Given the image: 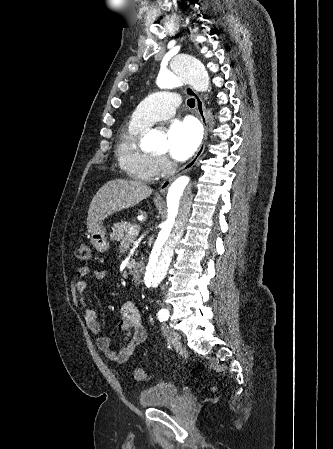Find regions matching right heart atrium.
<instances>
[{"instance_id": "right-heart-atrium-1", "label": "right heart atrium", "mask_w": 333, "mask_h": 449, "mask_svg": "<svg viewBox=\"0 0 333 449\" xmlns=\"http://www.w3.org/2000/svg\"><path fill=\"white\" fill-rule=\"evenodd\" d=\"M155 166H156L157 173L162 174V173H165L169 169L170 162L164 156H157V157H155Z\"/></svg>"}]
</instances>
